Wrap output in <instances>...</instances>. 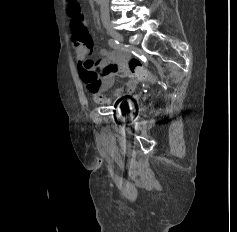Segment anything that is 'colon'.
Instances as JSON below:
<instances>
[{
  "instance_id": "1",
  "label": "colon",
  "mask_w": 237,
  "mask_h": 232,
  "mask_svg": "<svg viewBox=\"0 0 237 232\" xmlns=\"http://www.w3.org/2000/svg\"><path fill=\"white\" fill-rule=\"evenodd\" d=\"M68 14L71 17V25L73 28L77 31H83L85 29V25L82 14V6L79 0H69ZM128 67L130 72L140 79L149 80L153 78L152 75L145 69L143 63L137 58L130 59Z\"/></svg>"
}]
</instances>
